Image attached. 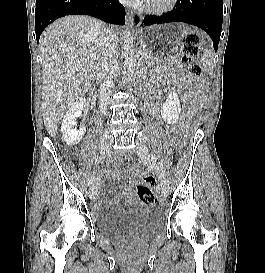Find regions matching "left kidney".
<instances>
[{
	"label": "left kidney",
	"instance_id": "1",
	"mask_svg": "<svg viewBox=\"0 0 265 273\" xmlns=\"http://www.w3.org/2000/svg\"><path fill=\"white\" fill-rule=\"evenodd\" d=\"M161 116L168 124H173L179 119L181 113L180 100L175 91H170L169 96L161 107Z\"/></svg>",
	"mask_w": 265,
	"mask_h": 273
}]
</instances>
